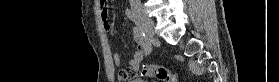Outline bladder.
Wrapping results in <instances>:
<instances>
[{"mask_svg":"<svg viewBox=\"0 0 279 82\" xmlns=\"http://www.w3.org/2000/svg\"><path fill=\"white\" fill-rule=\"evenodd\" d=\"M119 82H148V81H146L143 78L134 77V78H129V79H125V80H119Z\"/></svg>","mask_w":279,"mask_h":82,"instance_id":"obj_1","label":"bladder"}]
</instances>
